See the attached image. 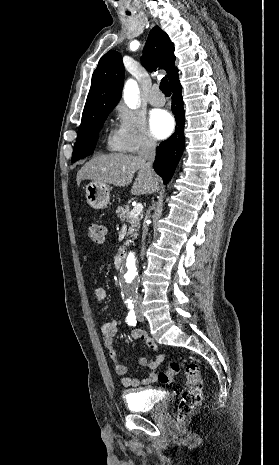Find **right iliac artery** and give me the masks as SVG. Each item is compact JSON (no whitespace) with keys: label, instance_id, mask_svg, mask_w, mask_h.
<instances>
[{"label":"right iliac artery","instance_id":"obj_1","mask_svg":"<svg viewBox=\"0 0 279 465\" xmlns=\"http://www.w3.org/2000/svg\"><path fill=\"white\" fill-rule=\"evenodd\" d=\"M130 309H131V310H130L129 313H128V316H127V318H126V322H127L129 325L134 326V325L136 324V322H137V321H136V316H135V312H134L133 308L130 307Z\"/></svg>","mask_w":279,"mask_h":465}]
</instances>
